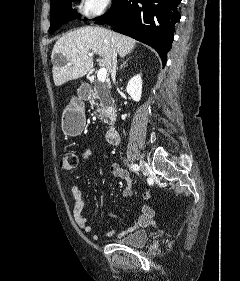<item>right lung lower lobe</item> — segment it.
<instances>
[{
    "label": "right lung lower lobe",
    "mask_w": 240,
    "mask_h": 281,
    "mask_svg": "<svg viewBox=\"0 0 240 281\" xmlns=\"http://www.w3.org/2000/svg\"><path fill=\"white\" fill-rule=\"evenodd\" d=\"M181 0H116L111 9L95 20L113 30L153 47L163 65L173 41L174 25L180 20Z\"/></svg>",
    "instance_id": "98d812e1"
}]
</instances>
